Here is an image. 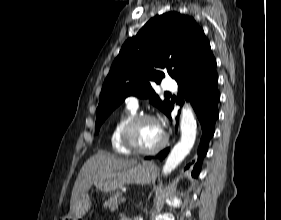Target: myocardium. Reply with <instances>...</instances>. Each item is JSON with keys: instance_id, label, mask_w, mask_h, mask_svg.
<instances>
[{"instance_id": "f54148a6", "label": "myocardium", "mask_w": 281, "mask_h": 220, "mask_svg": "<svg viewBox=\"0 0 281 220\" xmlns=\"http://www.w3.org/2000/svg\"><path fill=\"white\" fill-rule=\"evenodd\" d=\"M147 120L157 122L156 118L149 114H136L132 118H130L122 128L121 142L123 146L131 153L140 154V155L154 154L159 152L161 149H163L167 143V138L163 134L162 141L155 147L144 149L136 145L134 141V131L141 122Z\"/></svg>"}]
</instances>
